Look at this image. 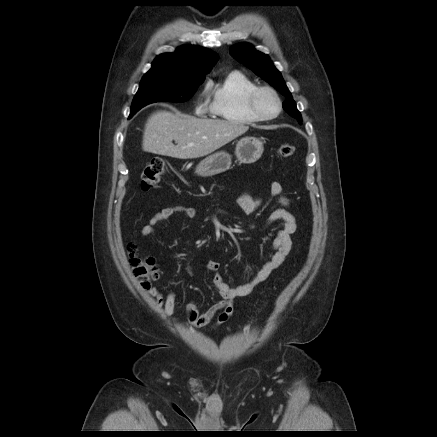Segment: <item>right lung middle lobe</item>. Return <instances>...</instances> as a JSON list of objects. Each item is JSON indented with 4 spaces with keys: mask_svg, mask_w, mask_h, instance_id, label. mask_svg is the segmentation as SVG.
Instances as JSON below:
<instances>
[{
    "mask_svg": "<svg viewBox=\"0 0 437 437\" xmlns=\"http://www.w3.org/2000/svg\"><path fill=\"white\" fill-rule=\"evenodd\" d=\"M204 81L184 80L163 72L146 73L134 96L130 117L142 107L154 102H185Z\"/></svg>",
    "mask_w": 437,
    "mask_h": 437,
    "instance_id": "dd1d6c3e",
    "label": "right lung middle lobe"
}]
</instances>
